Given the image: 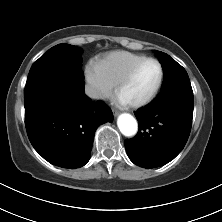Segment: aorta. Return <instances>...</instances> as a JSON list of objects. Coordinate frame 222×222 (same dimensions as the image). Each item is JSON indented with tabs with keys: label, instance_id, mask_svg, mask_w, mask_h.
<instances>
[{
	"label": "aorta",
	"instance_id": "1",
	"mask_svg": "<svg viewBox=\"0 0 222 222\" xmlns=\"http://www.w3.org/2000/svg\"><path fill=\"white\" fill-rule=\"evenodd\" d=\"M117 125L121 133L127 137L134 136L138 131L136 119L128 113H123L118 117Z\"/></svg>",
	"mask_w": 222,
	"mask_h": 222
}]
</instances>
